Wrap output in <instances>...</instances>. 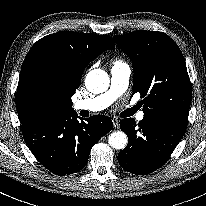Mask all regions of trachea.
Wrapping results in <instances>:
<instances>
[{"label": "trachea", "instance_id": "trachea-1", "mask_svg": "<svg viewBox=\"0 0 206 206\" xmlns=\"http://www.w3.org/2000/svg\"><path fill=\"white\" fill-rule=\"evenodd\" d=\"M131 111H135V108H132V110Z\"/></svg>", "mask_w": 206, "mask_h": 206}]
</instances>
